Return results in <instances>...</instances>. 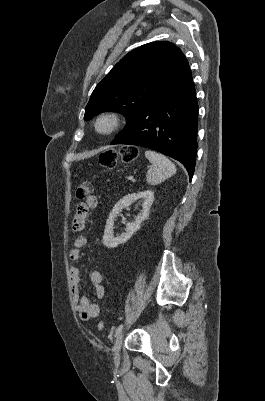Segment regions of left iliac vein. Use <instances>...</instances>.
Returning a JSON list of instances; mask_svg holds the SVG:
<instances>
[{
	"label": "left iliac vein",
	"instance_id": "obj_1",
	"mask_svg": "<svg viewBox=\"0 0 265 401\" xmlns=\"http://www.w3.org/2000/svg\"><path fill=\"white\" fill-rule=\"evenodd\" d=\"M122 342H123V333L121 332L118 334V336L114 342V347H113L114 359L116 362H118V359H119V351H120Z\"/></svg>",
	"mask_w": 265,
	"mask_h": 401
}]
</instances>
